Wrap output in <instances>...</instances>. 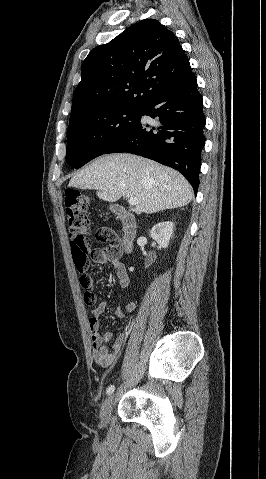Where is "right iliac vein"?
<instances>
[{"mask_svg": "<svg viewBox=\"0 0 266 479\" xmlns=\"http://www.w3.org/2000/svg\"><path fill=\"white\" fill-rule=\"evenodd\" d=\"M114 398H115L114 394H111L110 396H108V398L105 400V402L103 403L101 407L100 419H101L102 426H106L109 423L111 410L114 403Z\"/></svg>", "mask_w": 266, "mask_h": 479, "instance_id": "obj_1", "label": "right iliac vein"}]
</instances>
